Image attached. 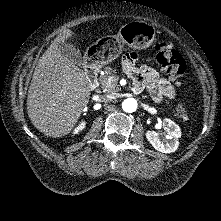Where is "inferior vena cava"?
<instances>
[{"label":"inferior vena cava","instance_id":"602c4592","mask_svg":"<svg viewBox=\"0 0 221 221\" xmlns=\"http://www.w3.org/2000/svg\"><path fill=\"white\" fill-rule=\"evenodd\" d=\"M114 96L111 93H106L104 95H101V100L104 102H110L112 101Z\"/></svg>","mask_w":221,"mask_h":221}]
</instances>
